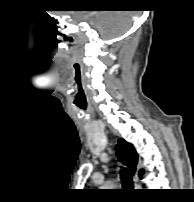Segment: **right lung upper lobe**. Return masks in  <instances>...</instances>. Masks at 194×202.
<instances>
[{
  "mask_svg": "<svg viewBox=\"0 0 194 202\" xmlns=\"http://www.w3.org/2000/svg\"><path fill=\"white\" fill-rule=\"evenodd\" d=\"M116 153L119 160L123 161L129 169V173L134 175L136 172V165L138 162V156L134 147L123 139H119V143L116 146ZM143 175V170L139 171V176Z\"/></svg>",
  "mask_w": 194,
  "mask_h": 202,
  "instance_id": "obj_1",
  "label": "right lung upper lobe"
}]
</instances>
